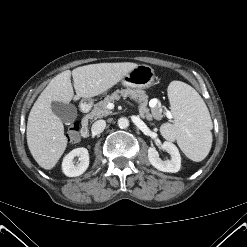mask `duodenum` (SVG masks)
Instances as JSON below:
<instances>
[{"mask_svg":"<svg viewBox=\"0 0 247 247\" xmlns=\"http://www.w3.org/2000/svg\"><path fill=\"white\" fill-rule=\"evenodd\" d=\"M90 109V104L88 102H84L81 105V112L82 113H87ZM80 133L81 136L86 138L89 136V128H88V120L87 119H83L81 122V128H80Z\"/></svg>","mask_w":247,"mask_h":247,"instance_id":"410a0bca","label":"duodenum"}]
</instances>
